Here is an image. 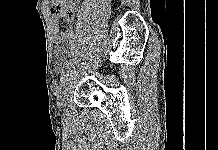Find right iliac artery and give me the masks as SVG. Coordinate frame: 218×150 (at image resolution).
I'll return each mask as SVG.
<instances>
[{"label":"right iliac artery","instance_id":"1","mask_svg":"<svg viewBox=\"0 0 218 150\" xmlns=\"http://www.w3.org/2000/svg\"><path fill=\"white\" fill-rule=\"evenodd\" d=\"M72 66V60H70L68 63H67V65H66V69H70V67ZM64 74L62 75V77H61V83L63 82V79H64Z\"/></svg>","mask_w":218,"mask_h":150}]
</instances>
